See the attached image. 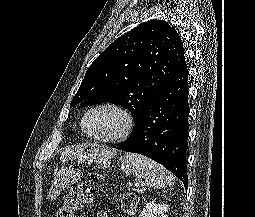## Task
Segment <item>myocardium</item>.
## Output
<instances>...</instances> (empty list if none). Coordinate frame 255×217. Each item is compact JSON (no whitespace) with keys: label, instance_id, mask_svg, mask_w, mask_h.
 Segmentation results:
<instances>
[{"label":"myocardium","instance_id":"f54148a6","mask_svg":"<svg viewBox=\"0 0 255 217\" xmlns=\"http://www.w3.org/2000/svg\"><path fill=\"white\" fill-rule=\"evenodd\" d=\"M98 109L112 110L121 117L122 125L118 132H116L115 134H113L111 136H97V135L91 134L86 129L85 122H86L87 117L89 116L90 113H92L93 111L98 110ZM133 126H134V117H133L132 113L125 106H123L119 103H116V102H112V101L100 102V103H97V104L89 107L85 111V113L81 119L82 131L89 138L94 139L96 141L105 142V143H113V142H117V141L124 139L131 132Z\"/></svg>","mask_w":255,"mask_h":217}]
</instances>
